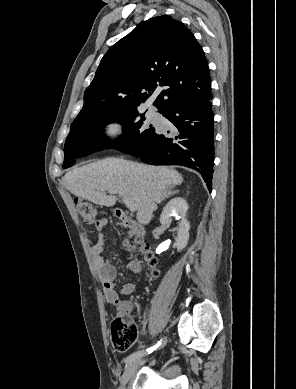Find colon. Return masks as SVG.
I'll use <instances>...</instances> for the list:
<instances>
[{"instance_id": "5ec220e1", "label": "colon", "mask_w": 296, "mask_h": 389, "mask_svg": "<svg viewBox=\"0 0 296 389\" xmlns=\"http://www.w3.org/2000/svg\"><path fill=\"white\" fill-rule=\"evenodd\" d=\"M75 204L78 213L85 222H96L97 209L92 203L78 199ZM126 245L130 250H137L141 254L143 262L149 269L150 277L156 278L158 276V270L156 269L157 260L143 238L140 236L135 237L128 240ZM137 334L138 332L135 324L126 317L125 314L118 313L112 319L110 335L112 344L116 350L121 352L127 351L135 342Z\"/></svg>"}]
</instances>
